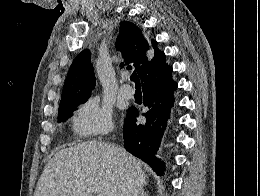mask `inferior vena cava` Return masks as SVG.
Wrapping results in <instances>:
<instances>
[{
  "mask_svg": "<svg viewBox=\"0 0 260 196\" xmlns=\"http://www.w3.org/2000/svg\"><path fill=\"white\" fill-rule=\"evenodd\" d=\"M120 196H133V194H130L128 190H124L123 194H120Z\"/></svg>",
  "mask_w": 260,
  "mask_h": 196,
  "instance_id": "1",
  "label": "inferior vena cava"
}]
</instances>
